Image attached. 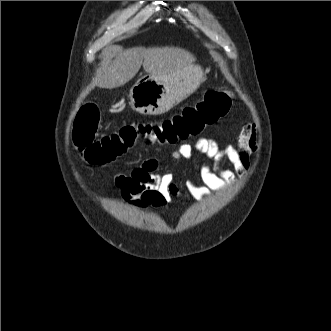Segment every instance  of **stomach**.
Returning a JSON list of instances; mask_svg holds the SVG:
<instances>
[{
	"instance_id": "stomach-1",
	"label": "stomach",
	"mask_w": 331,
	"mask_h": 331,
	"mask_svg": "<svg viewBox=\"0 0 331 331\" xmlns=\"http://www.w3.org/2000/svg\"><path fill=\"white\" fill-rule=\"evenodd\" d=\"M202 80L203 70L195 64L167 78L149 74L130 88V105L143 115L163 114L193 93Z\"/></svg>"
}]
</instances>
